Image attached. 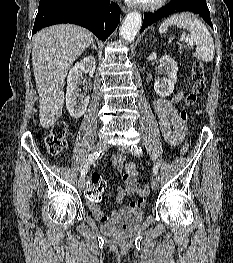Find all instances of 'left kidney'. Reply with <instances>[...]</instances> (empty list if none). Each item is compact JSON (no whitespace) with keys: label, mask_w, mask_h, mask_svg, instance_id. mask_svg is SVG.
I'll return each mask as SVG.
<instances>
[{"label":"left kidney","mask_w":233,"mask_h":263,"mask_svg":"<svg viewBox=\"0 0 233 263\" xmlns=\"http://www.w3.org/2000/svg\"><path fill=\"white\" fill-rule=\"evenodd\" d=\"M156 53H152L147 59L148 61L155 60ZM161 69L166 77L157 79L154 83V90L160 97H168L173 93L174 85L177 82V63L168 55L160 58Z\"/></svg>","instance_id":"obj_1"}]
</instances>
